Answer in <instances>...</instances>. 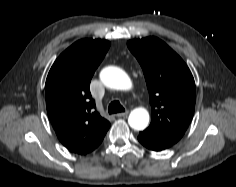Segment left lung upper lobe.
<instances>
[{
	"label": "left lung upper lobe",
	"instance_id": "left-lung-upper-lobe-1",
	"mask_svg": "<svg viewBox=\"0 0 236 187\" xmlns=\"http://www.w3.org/2000/svg\"><path fill=\"white\" fill-rule=\"evenodd\" d=\"M149 91L152 121L143 134L175 144L188 128L195 108V82L185 62L156 37L130 40Z\"/></svg>",
	"mask_w": 236,
	"mask_h": 187
}]
</instances>
